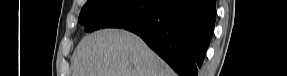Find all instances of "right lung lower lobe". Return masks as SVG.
Listing matches in <instances>:
<instances>
[{"label":"right lung lower lobe","instance_id":"right-lung-lower-lobe-1","mask_svg":"<svg viewBox=\"0 0 287 76\" xmlns=\"http://www.w3.org/2000/svg\"><path fill=\"white\" fill-rule=\"evenodd\" d=\"M215 16V0H160L151 17L124 29L140 36L179 76H197Z\"/></svg>","mask_w":287,"mask_h":76}]
</instances>
